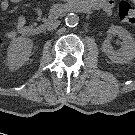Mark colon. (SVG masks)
<instances>
[{"instance_id":"1","label":"colon","mask_w":135,"mask_h":135,"mask_svg":"<svg viewBox=\"0 0 135 135\" xmlns=\"http://www.w3.org/2000/svg\"><path fill=\"white\" fill-rule=\"evenodd\" d=\"M118 17L122 23L135 26V5L128 1H121L117 8ZM1 44V42H0Z\"/></svg>"}]
</instances>
